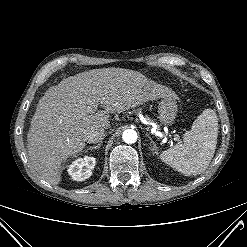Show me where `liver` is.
I'll return each mask as SVG.
<instances>
[{
	"mask_svg": "<svg viewBox=\"0 0 247 247\" xmlns=\"http://www.w3.org/2000/svg\"><path fill=\"white\" fill-rule=\"evenodd\" d=\"M176 98L171 89L122 68L93 69L63 79L38 102L27 134L28 156L40 178L61 181V164L81 152L87 136L110 126L109 113ZM100 105L106 111L91 112Z\"/></svg>",
	"mask_w": 247,
	"mask_h": 247,
	"instance_id": "1",
	"label": "liver"
}]
</instances>
